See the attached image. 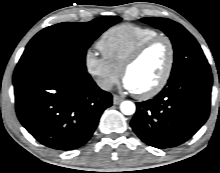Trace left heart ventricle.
I'll return each instance as SVG.
<instances>
[{"instance_id":"left-heart-ventricle-1","label":"left heart ventricle","mask_w":220,"mask_h":173,"mask_svg":"<svg viewBox=\"0 0 220 173\" xmlns=\"http://www.w3.org/2000/svg\"><path fill=\"white\" fill-rule=\"evenodd\" d=\"M168 46L164 41L153 45L127 72L136 93L152 88L162 77L168 63Z\"/></svg>"}]
</instances>
